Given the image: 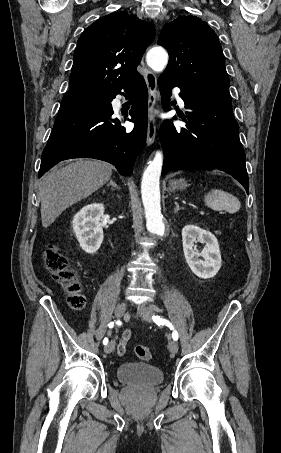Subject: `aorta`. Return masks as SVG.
Wrapping results in <instances>:
<instances>
[{"instance_id":"obj_1","label":"aorta","mask_w":281,"mask_h":453,"mask_svg":"<svg viewBox=\"0 0 281 453\" xmlns=\"http://www.w3.org/2000/svg\"><path fill=\"white\" fill-rule=\"evenodd\" d=\"M146 61L154 72H162L168 63V54L162 47H153L148 51ZM162 165L163 153L157 151L154 159L148 163L141 182L146 226L149 232L158 236H163L165 233L159 187Z\"/></svg>"}]
</instances>
